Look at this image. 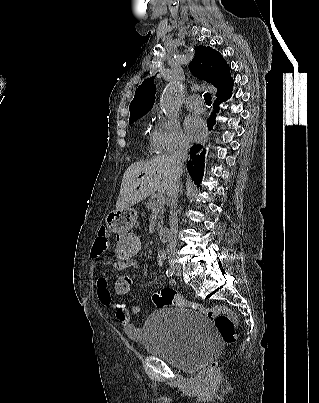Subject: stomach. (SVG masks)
<instances>
[{"label": "stomach", "instance_id": "stomach-1", "mask_svg": "<svg viewBox=\"0 0 319 403\" xmlns=\"http://www.w3.org/2000/svg\"><path fill=\"white\" fill-rule=\"evenodd\" d=\"M135 221L136 214L132 209L111 210L107 215L106 224L115 238L116 234L132 233Z\"/></svg>", "mask_w": 319, "mask_h": 403}]
</instances>
